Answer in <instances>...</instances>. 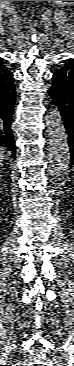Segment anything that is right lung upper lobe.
<instances>
[{
	"instance_id": "right-lung-upper-lobe-1",
	"label": "right lung upper lobe",
	"mask_w": 74,
	"mask_h": 366,
	"mask_svg": "<svg viewBox=\"0 0 74 366\" xmlns=\"http://www.w3.org/2000/svg\"><path fill=\"white\" fill-rule=\"evenodd\" d=\"M10 75L11 72L6 66V62L3 61L2 58H0V81L9 79Z\"/></svg>"
}]
</instances>
